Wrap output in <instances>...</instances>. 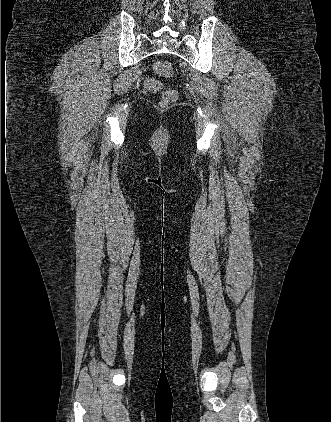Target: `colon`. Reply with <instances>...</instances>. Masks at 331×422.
Listing matches in <instances>:
<instances>
[{
	"instance_id": "5ec220e1",
	"label": "colon",
	"mask_w": 331,
	"mask_h": 422,
	"mask_svg": "<svg viewBox=\"0 0 331 422\" xmlns=\"http://www.w3.org/2000/svg\"><path fill=\"white\" fill-rule=\"evenodd\" d=\"M154 71H155V73H156L158 76H161V77H168V76H170V75H171V73H172V66H171V64H170L168 61H166V60H160V61H157V62L154 64ZM176 99H177V94H176V92H174V91H172V90H168V91H165V92L162 94L160 104H161L162 106H169V105H170V104H172V103H173Z\"/></svg>"
}]
</instances>
